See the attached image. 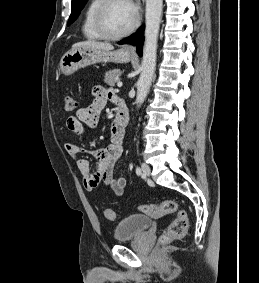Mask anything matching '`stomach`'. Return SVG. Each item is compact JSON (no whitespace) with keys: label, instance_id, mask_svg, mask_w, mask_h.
<instances>
[{"label":"stomach","instance_id":"stomach-1","mask_svg":"<svg viewBox=\"0 0 259 283\" xmlns=\"http://www.w3.org/2000/svg\"><path fill=\"white\" fill-rule=\"evenodd\" d=\"M131 58V53L124 49L111 51L92 47H79L67 52L60 60L59 66L63 74L70 75L80 68L96 63H125L130 61Z\"/></svg>","mask_w":259,"mask_h":283}]
</instances>
